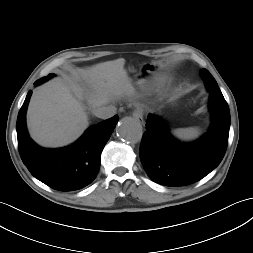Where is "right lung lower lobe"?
Returning <instances> with one entry per match:
<instances>
[{
	"instance_id": "98d812e1",
	"label": "right lung lower lobe",
	"mask_w": 253,
	"mask_h": 253,
	"mask_svg": "<svg viewBox=\"0 0 253 253\" xmlns=\"http://www.w3.org/2000/svg\"><path fill=\"white\" fill-rule=\"evenodd\" d=\"M42 79L34 84L43 83ZM31 94L29 91L16 124L18 149L23 163L35 178L53 189L74 191L87 186L99 172L101 152L119 117L116 115L91 126L72 145L45 149L31 140L26 129V111Z\"/></svg>"
}]
</instances>
